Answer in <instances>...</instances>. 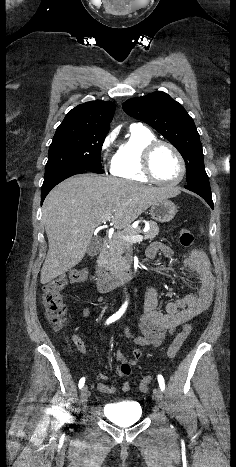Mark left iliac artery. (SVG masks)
Wrapping results in <instances>:
<instances>
[{"label":"left iliac artery","instance_id":"obj_1","mask_svg":"<svg viewBox=\"0 0 236 467\" xmlns=\"http://www.w3.org/2000/svg\"><path fill=\"white\" fill-rule=\"evenodd\" d=\"M158 383L162 391L165 390V381L162 375H158Z\"/></svg>","mask_w":236,"mask_h":467}]
</instances>
